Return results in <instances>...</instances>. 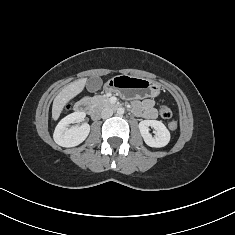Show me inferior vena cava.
Returning <instances> with one entry per match:
<instances>
[{
    "instance_id": "obj_1",
    "label": "inferior vena cava",
    "mask_w": 235,
    "mask_h": 235,
    "mask_svg": "<svg viewBox=\"0 0 235 235\" xmlns=\"http://www.w3.org/2000/svg\"><path fill=\"white\" fill-rule=\"evenodd\" d=\"M113 115V110L111 108H104L101 112V117L103 119L109 118Z\"/></svg>"
}]
</instances>
